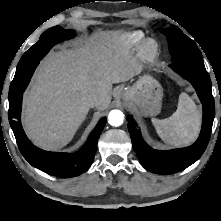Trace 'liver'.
<instances>
[{
	"label": "liver",
	"instance_id": "obj_1",
	"mask_svg": "<svg viewBox=\"0 0 221 221\" xmlns=\"http://www.w3.org/2000/svg\"><path fill=\"white\" fill-rule=\"evenodd\" d=\"M137 65L118 32H99L75 49L50 52L41 62L23 98V126L32 142L45 150L68 144L86 119L88 98L96 108L111 102L112 84L130 80Z\"/></svg>",
	"mask_w": 221,
	"mask_h": 221
}]
</instances>
